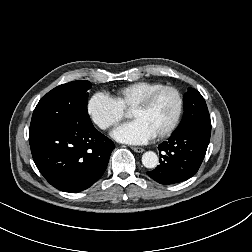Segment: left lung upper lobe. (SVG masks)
<instances>
[{
    "instance_id": "obj_1",
    "label": "left lung upper lobe",
    "mask_w": 252,
    "mask_h": 252,
    "mask_svg": "<svg viewBox=\"0 0 252 252\" xmlns=\"http://www.w3.org/2000/svg\"><path fill=\"white\" fill-rule=\"evenodd\" d=\"M183 101L184 115L182 122L174 132L195 124L211 125L207 105L197 90L189 88L188 92L184 95Z\"/></svg>"
}]
</instances>
